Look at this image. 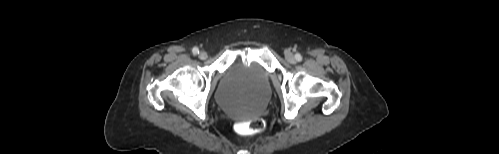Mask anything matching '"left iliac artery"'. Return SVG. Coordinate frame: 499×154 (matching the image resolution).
<instances>
[{
  "mask_svg": "<svg viewBox=\"0 0 499 154\" xmlns=\"http://www.w3.org/2000/svg\"><path fill=\"white\" fill-rule=\"evenodd\" d=\"M295 59H296L298 62H300V61H302V56H301L299 53H297V54H295Z\"/></svg>",
  "mask_w": 499,
  "mask_h": 154,
  "instance_id": "left-iliac-artery-1",
  "label": "left iliac artery"
}]
</instances>
